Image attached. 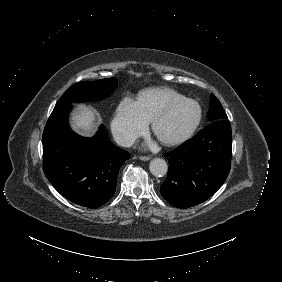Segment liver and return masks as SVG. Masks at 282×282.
Listing matches in <instances>:
<instances>
[{
    "label": "liver",
    "instance_id": "1",
    "mask_svg": "<svg viewBox=\"0 0 282 282\" xmlns=\"http://www.w3.org/2000/svg\"><path fill=\"white\" fill-rule=\"evenodd\" d=\"M96 111L86 105H79L72 114V128L82 135L92 136L96 130Z\"/></svg>",
    "mask_w": 282,
    "mask_h": 282
}]
</instances>
